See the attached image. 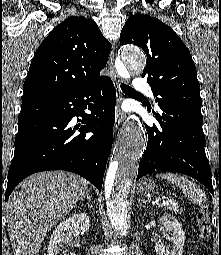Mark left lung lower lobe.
Listing matches in <instances>:
<instances>
[{
	"mask_svg": "<svg viewBox=\"0 0 221 255\" xmlns=\"http://www.w3.org/2000/svg\"><path fill=\"white\" fill-rule=\"evenodd\" d=\"M159 108L153 114L158 124L152 127L145 124L148 143L139 163L137 180L156 170L178 172L199 180L213 194L202 115L173 105Z\"/></svg>",
	"mask_w": 221,
	"mask_h": 255,
	"instance_id": "0a47b994",
	"label": "left lung lower lobe"
}]
</instances>
